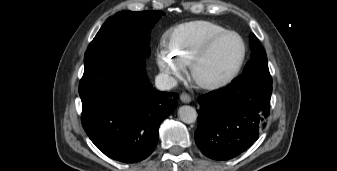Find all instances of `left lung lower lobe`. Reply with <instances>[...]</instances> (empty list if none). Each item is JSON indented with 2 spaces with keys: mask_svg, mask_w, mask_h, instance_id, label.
<instances>
[{
  "mask_svg": "<svg viewBox=\"0 0 337 171\" xmlns=\"http://www.w3.org/2000/svg\"><path fill=\"white\" fill-rule=\"evenodd\" d=\"M272 82H233L198 99L195 141L207 157L226 161L248 149L265 128L270 112Z\"/></svg>",
  "mask_w": 337,
  "mask_h": 171,
  "instance_id": "obj_1",
  "label": "left lung lower lobe"
}]
</instances>
